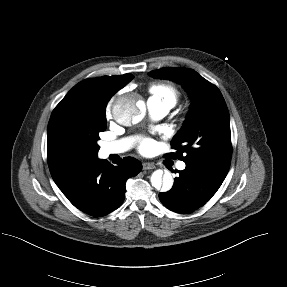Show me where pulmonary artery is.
Segmentation results:
<instances>
[{
	"instance_id": "e3ab8cb5",
	"label": "pulmonary artery",
	"mask_w": 287,
	"mask_h": 287,
	"mask_svg": "<svg viewBox=\"0 0 287 287\" xmlns=\"http://www.w3.org/2000/svg\"><path fill=\"white\" fill-rule=\"evenodd\" d=\"M147 107L151 117L155 120L163 118L172 108L167 103L159 102L153 99L148 100ZM132 142L133 140L131 138H124L114 142H107L102 145V152L105 155L123 153L131 147ZM185 166L186 165L184 162H179L177 165L178 169L180 170L185 169Z\"/></svg>"
}]
</instances>
